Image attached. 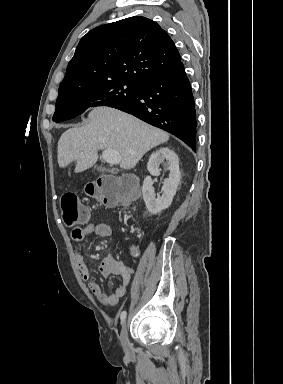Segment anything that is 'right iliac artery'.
I'll use <instances>...</instances> for the list:
<instances>
[{"instance_id":"right-iliac-artery-1","label":"right iliac artery","mask_w":283,"mask_h":384,"mask_svg":"<svg viewBox=\"0 0 283 384\" xmlns=\"http://www.w3.org/2000/svg\"><path fill=\"white\" fill-rule=\"evenodd\" d=\"M126 315H127V312L126 311H123L120 315V319H121V323H124V320L126 318Z\"/></svg>"}]
</instances>
